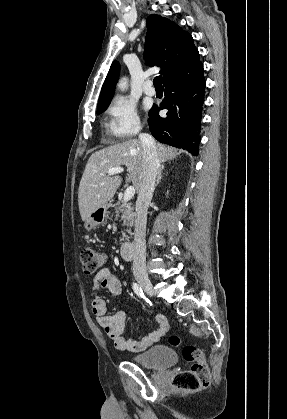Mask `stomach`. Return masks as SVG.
<instances>
[{
	"instance_id": "0dacf381",
	"label": "stomach",
	"mask_w": 287,
	"mask_h": 419,
	"mask_svg": "<svg viewBox=\"0 0 287 419\" xmlns=\"http://www.w3.org/2000/svg\"><path fill=\"white\" fill-rule=\"evenodd\" d=\"M109 204L105 207L98 208L95 210L85 221L84 227L86 230L91 231L97 228L100 224H103L108 218Z\"/></svg>"
}]
</instances>
